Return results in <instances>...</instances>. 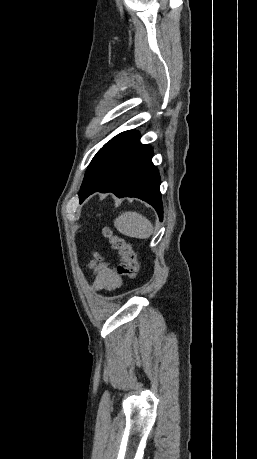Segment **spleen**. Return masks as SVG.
<instances>
[{
    "label": "spleen",
    "instance_id": "1",
    "mask_svg": "<svg viewBox=\"0 0 257 459\" xmlns=\"http://www.w3.org/2000/svg\"><path fill=\"white\" fill-rule=\"evenodd\" d=\"M114 226L121 234L139 239H147L153 232L152 223L133 211L123 212L114 220Z\"/></svg>",
    "mask_w": 257,
    "mask_h": 459
}]
</instances>
